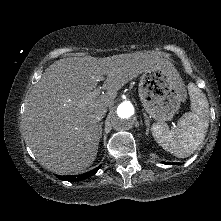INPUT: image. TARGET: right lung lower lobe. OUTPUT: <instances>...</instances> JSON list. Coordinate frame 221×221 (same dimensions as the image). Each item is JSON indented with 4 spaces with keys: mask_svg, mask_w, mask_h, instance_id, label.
<instances>
[{
    "mask_svg": "<svg viewBox=\"0 0 221 221\" xmlns=\"http://www.w3.org/2000/svg\"><path fill=\"white\" fill-rule=\"evenodd\" d=\"M100 166L81 175H74V176H59L56 175L57 178L61 179V180H65V181H78V180H83L86 179L92 175H94L98 170H99Z\"/></svg>",
    "mask_w": 221,
    "mask_h": 221,
    "instance_id": "1",
    "label": "right lung lower lobe"
}]
</instances>
